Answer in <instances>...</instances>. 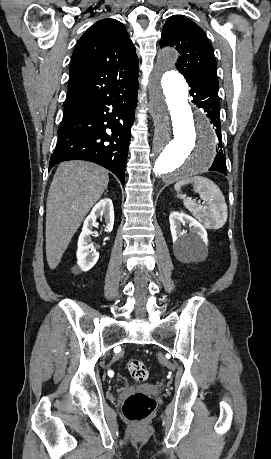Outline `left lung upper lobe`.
Returning <instances> with one entry per match:
<instances>
[{"mask_svg":"<svg viewBox=\"0 0 271 459\" xmlns=\"http://www.w3.org/2000/svg\"><path fill=\"white\" fill-rule=\"evenodd\" d=\"M161 46H175L180 56L176 67L187 82L210 80L218 86L216 60L213 47L204 31L192 20L173 15L166 21Z\"/></svg>","mask_w":271,"mask_h":459,"instance_id":"left-lung-upper-lobe-1","label":"left lung upper lobe"}]
</instances>
